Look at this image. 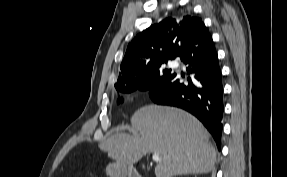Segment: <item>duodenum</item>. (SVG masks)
Here are the masks:
<instances>
[{"label": "duodenum", "mask_w": 287, "mask_h": 177, "mask_svg": "<svg viewBox=\"0 0 287 177\" xmlns=\"http://www.w3.org/2000/svg\"><path fill=\"white\" fill-rule=\"evenodd\" d=\"M121 172H122L124 175H126V177H141V176L139 175V173H138L136 170L132 169V168L126 167V168L122 169Z\"/></svg>", "instance_id": "410a0bca"}]
</instances>
